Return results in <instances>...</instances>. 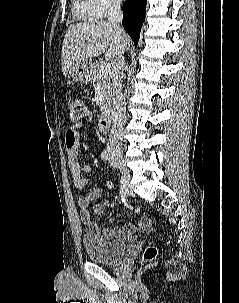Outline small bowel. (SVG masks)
<instances>
[{"mask_svg": "<svg viewBox=\"0 0 239 303\" xmlns=\"http://www.w3.org/2000/svg\"><path fill=\"white\" fill-rule=\"evenodd\" d=\"M80 127L81 123H76L69 128L65 135L64 146L67 155V165L73 183L77 189L83 190L88 186L89 180L83 177L82 173H92L94 171V168L91 165L82 166L79 162L81 137L78 130ZM107 186L111 187L110 184ZM102 192L103 189L101 187H95L86 191L78 199L80 217L86 229L88 237L95 239H111L119 235H129L138 229H145L148 227V221L142 219L137 223H128L121 229L109 227L101 229L98 224L92 219V214L101 215L104 212L105 208L109 205L108 201L93 203L95 200L100 198ZM90 205L91 208L89 209Z\"/></svg>", "mask_w": 239, "mask_h": 303, "instance_id": "obj_1", "label": "small bowel"}]
</instances>
